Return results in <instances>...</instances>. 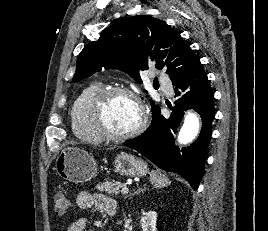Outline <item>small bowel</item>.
Instances as JSON below:
<instances>
[{
  "label": "small bowel",
  "mask_w": 268,
  "mask_h": 231,
  "mask_svg": "<svg viewBox=\"0 0 268 231\" xmlns=\"http://www.w3.org/2000/svg\"><path fill=\"white\" fill-rule=\"evenodd\" d=\"M76 205L80 209L96 208L106 215H114L117 209L113 198L104 194H93L87 191L80 192L76 197ZM88 221L85 218H79L71 223L66 231H85Z\"/></svg>",
  "instance_id": "obj_1"
}]
</instances>
